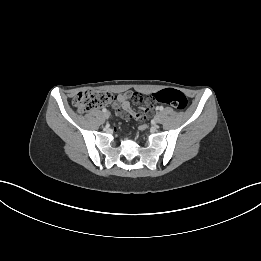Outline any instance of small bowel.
<instances>
[{"label": "small bowel", "mask_w": 261, "mask_h": 261, "mask_svg": "<svg viewBox=\"0 0 261 261\" xmlns=\"http://www.w3.org/2000/svg\"><path fill=\"white\" fill-rule=\"evenodd\" d=\"M120 108L122 111L130 117L135 119H143L152 110L153 104L156 99L153 96H143L142 94L135 92L132 94L130 91L118 95ZM132 100L137 105H146L140 111H132L129 101Z\"/></svg>", "instance_id": "obj_1"}]
</instances>
